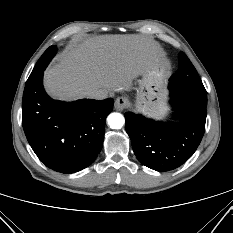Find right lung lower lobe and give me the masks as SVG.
Masks as SVG:
<instances>
[{
	"label": "right lung lower lobe",
	"instance_id": "98d812e1",
	"mask_svg": "<svg viewBox=\"0 0 233 233\" xmlns=\"http://www.w3.org/2000/svg\"><path fill=\"white\" fill-rule=\"evenodd\" d=\"M42 78L43 71L26 82L23 93L22 125L27 140L50 169L80 171L91 165L102 149L113 99L56 101L46 94Z\"/></svg>",
	"mask_w": 233,
	"mask_h": 233
}]
</instances>
